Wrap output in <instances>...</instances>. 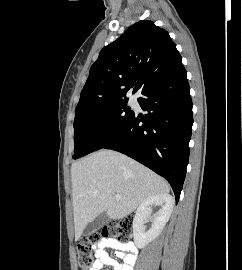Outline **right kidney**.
<instances>
[{"mask_svg":"<svg viewBox=\"0 0 242 270\" xmlns=\"http://www.w3.org/2000/svg\"><path fill=\"white\" fill-rule=\"evenodd\" d=\"M152 206H160V210L152 217V227L146 231L145 221L151 218ZM174 207V199L169 194H155L146 198L137 208L133 219L134 242L143 248L155 240L168 222Z\"/></svg>","mask_w":242,"mask_h":270,"instance_id":"1","label":"right kidney"}]
</instances>
